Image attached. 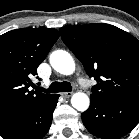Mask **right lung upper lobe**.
Masks as SVG:
<instances>
[{
    "label": "right lung upper lobe",
    "mask_w": 139,
    "mask_h": 139,
    "mask_svg": "<svg viewBox=\"0 0 139 139\" xmlns=\"http://www.w3.org/2000/svg\"><path fill=\"white\" fill-rule=\"evenodd\" d=\"M59 37L56 29L23 28L0 36V124L52 97L35 93L31 78Z\"/></svg>",
    "instance_id": "cb5924a9"
}]
</instances>
